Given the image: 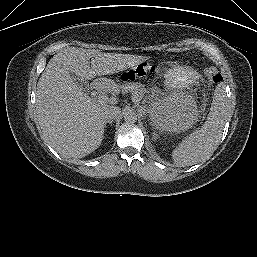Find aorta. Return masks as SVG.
Returning a JSON list of instances; mask_svg holds the SVG:
<instances>
[{"instance_id": "obj_1", "label": "aorta", "mask_w": 257, "mask_h": 257, "mask_svg": "<svg viewBox=\"0 0 257 257\" xmlns=\"http://www.w3.org/2000/svg\"><path fill=\"white\" fill-rule=\"evenodd\" d=\"M123 118L126 123H135L137 121V114L132 108H127L123 112Z\"/></svg>"}]
</instances>
